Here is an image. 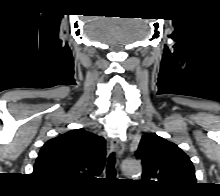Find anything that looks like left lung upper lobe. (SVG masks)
Masks as SVG:
<instances>
[{"label": "left lung upper lobe", "instance_id": "left-lung-upper-lobe-1", "mask_svg": "<svg viewBox=\"0 0 220 196\" xmlns=\"http://www.w3.org/2000/svg\"><path fill=\"white\" fill-rule=\"evenodd\" d=\"M135 156L142 161L143 181L160 192L180 193L196 184L190 158L177 145L155 133L142 136Z\"/></svg>", "mask_w": 220, "mask_h": 196}]
</instances>
